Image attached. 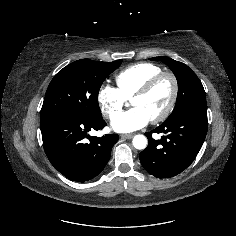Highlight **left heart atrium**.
<instances>
[{
	"label": "left heart atrium",
	"mask_w": 236,
	"mask_h": 236,
	"mask_svg": "<svg viewBox=\"0 0 236 236\" xmlns=\"http://www.w3.org/2000/svg\"><path fill=\"white\" fill-rule=\"evenodd\" d=\"M149 121L150 118L142 109L133 107L114 116L111 121V127L116 132L129 133L143 128Z\"/></svg>",
	"instance_id": "obj_1"
}]
</instances>
